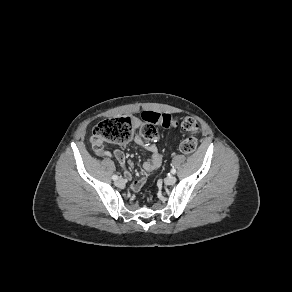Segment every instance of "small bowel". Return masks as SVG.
I'll return each instance as SVG.
<instances>
[{"label": "small bowel", "mask_w": 292, "mask_h": 292, "mask_svg": "<svg viewBox=\"0 0 292 292\" xmlns=\"http://www.w3.org/2000/svg\"><path fill=\"white\" fill-rule=\"evenodd\" d=\"M133 125L136 130H139L141 127V120L137 117L131 116ZM133 141L141 146L142 148L146 149L150 153V157L144 162L143 169L145 172H151L158 168L162 163V154L156 144H154L152 141L144 138L141 135H134ZM107 153L104 151L102 155H106ZM113 156L115 159L119 162V164L124 168V176L127 179H132V173L127 169V167H132L133 162L128 161L126 155L122 150H115L113 152ZM145 178L141 177L138 179H135L131 183V189L134 192H138L141 190V188L145 184Z\"/></svg>", "instance_id": "small-bowel-1"}]
</instances>
